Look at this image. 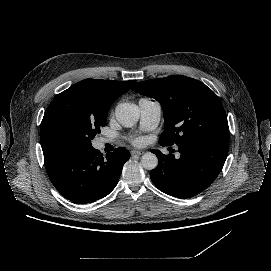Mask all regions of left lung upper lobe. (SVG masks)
<instances>
[{"label":"left lung upper lobe","mask_w":271,"mask_h":271,"mask_svg":"<svg viewBox=\"0 0 271 271\" xmlns=\"http://www.w3.org/2000/svg\"><path fill=\"white\" fill-rule=\"evenodd\" d=\"M132 90L162 106L164 145L194 144L201 137L229 140L227 116L216 94L201 81L182 75L136 83Z\"/></svg>","instance_id":"1"}]
</instances>
